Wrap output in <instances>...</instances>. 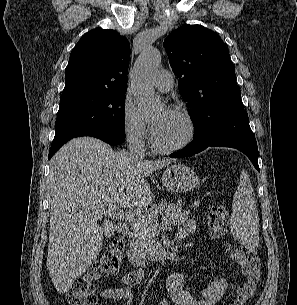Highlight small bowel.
<instances>
[{
  "mask_svg": "<svg viewBox=\"0 0 297 305\" xmlns=\"http://www.w3.org/2000/svg\"><path fill=\"white\" fill-rule=\"evenodd\" d=\"M195 228L194 217L188 218L182 223L178 230L188 236ZM143 277L141 270L124 274L121 282L124 286L107 287L101 290L100 298L104 301H121L127 300L128 305H136V297L131 288L137 284ZM166 287L170 294V299H164L159 305H169L170 301L175 305H216L226 294L228 289V280L225 278L218 279L202 287L198 295L195 296L184 287V274L180 271L172 273L166 281Z\"/></svg>",
  "mask_w": 297,
  "mask_h": 305,
  "instance_id": "c3829d8e",
  "label": "small bowel"
}]
</instances>
